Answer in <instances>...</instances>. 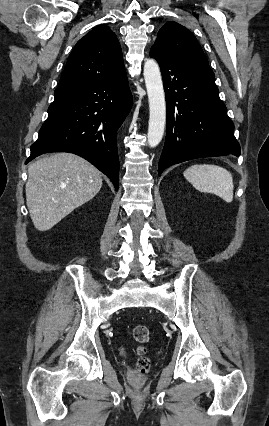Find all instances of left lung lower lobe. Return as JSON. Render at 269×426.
Instances as JSON below:
<instances>
[{
    "mask_svg": "<svg viewBox=\"0 0 269 426\" xmlns=\"http://www.w3.org/2000/svg\"><path fill=\"white\" fill-rule=\"evenodd\" d=\"M161 68L167 106V134L158 174L187 160L240 156L234 124L219 98L210 67L151 48Z\"/></svg>",
    "mask_w": 269,
    "mask_h": 426,
    "instance_id": "1",
    "label": "left lung lower lobe"
}]
</instances>
